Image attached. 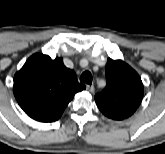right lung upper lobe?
<instances>
[{
    "mask_svg": "<svg viewBox=\"0 0 165 154\" xmlns=\"http://www.w3.org/2000/svg\"><path fill=\"white\" fill-rule=\"evenodd\" d=\"M62 58L35 53L14 76V95L23 111L41 121L64 111L77 92L84 90Z\"/></svg>",
    "mask_w": 165,
    "mask_h": 154,
    "instance_id": "cb5924a9",
    "label": "right lung upper lobe"
}]
</instances>
